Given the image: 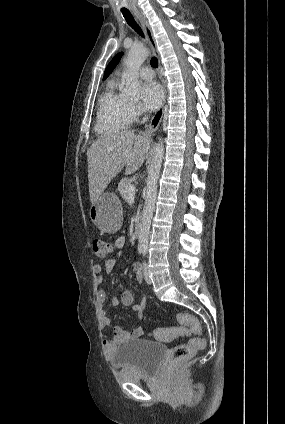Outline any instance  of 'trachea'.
Returning <instances> with one entry per match:
<instances>
[{"instance_id": "3493384b", "label": "trachea", "mask_w": 285, "mask_h": 424, "mask_svg": "<svg viewBox=\"0 0 285 424\" xmlns=\"http://www.w3.org/2000/svg\"><path fill=\"white\" fill-rule=\"evenodd\" d=\"M122 14L126 20V22L128 23L129 26H131L139 35H141L142 37H144V34L141 30V28L139 27V25L136 23V21L134 20L133 16L131 15V13L128 10H122ZM151 66L154 68L158 67V60L156 57H153L151 59Z\"/></svg>"}]
</instances>
